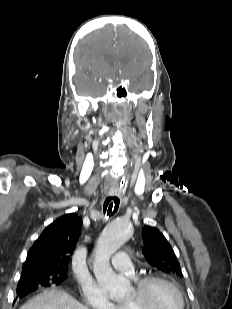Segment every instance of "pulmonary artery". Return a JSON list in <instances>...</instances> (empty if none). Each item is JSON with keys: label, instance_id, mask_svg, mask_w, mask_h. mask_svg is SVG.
<instances>
[{"label": "pulmonary artery", "instance_id": "1", "mask_svg": "<svg viewBox=\"0 0 232 309\" xmlns=\"http://www.w3.org/2000/svg\"><path fill=\"white\" fill-rule=\"evenodd\" d=\"M113 267L129 276H134V266L127 251L118 252L112 260Z\"/></svg>", "mask_w": 232, "mask_h": 309}]
</instances>
